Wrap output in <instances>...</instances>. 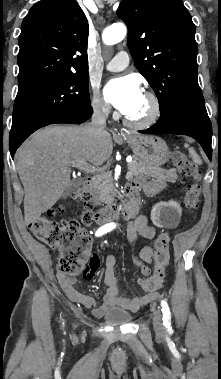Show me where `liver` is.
I'll list each match as a JSON object with an SVG mask.
<instances>
[{"label": "liver", "mask_w": 221, "mask_h": 379, "mask_svg": "<svg viewBox=\"0 0 221 379\" xmlns=\"http://www.w3.org/2000/svg\"><path fill=\"white\" fill-rule=\"evenodd\" d=\"M84 128L48 126L33 133L17 150L26 224L36 221L59 200L70 184L73 164L83 161L100 166L110 158V133L91 135Z\"/></svg>", "instance_id": "obj_1"}]
</instances>
